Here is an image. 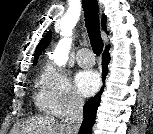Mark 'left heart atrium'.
<instances>
[{"label": "left heart atrium", "mask_w": 153, "mask_h": 134, "mask_svg": "<svg viewBox=\"0 0 153 134\" xmlns=\"http://www.w3.org/2000/svg\"><path fill=\"white\" fill-rule=\"evenodd\" d=\"M75 83L81 94L90 96L97 91L100 85V78L98 73L93 70H83L77 73Z\"/></svg>", "instance_id": "left-heart-atrium-1"}]
</instances>
